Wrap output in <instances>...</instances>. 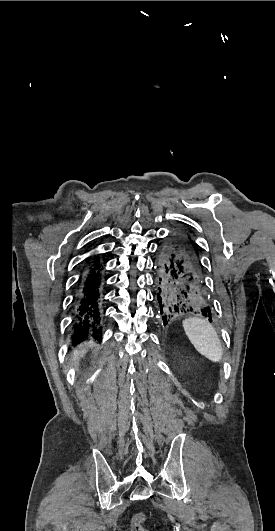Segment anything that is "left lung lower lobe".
I'll list each match as a JSON object with an SVG mask.
<instances>
[{"mask_svg":"<svg viewBox=\"0 0 275 531\" xmlns=\"http://www.w3.org/2000/svg\"><path fill=\"white\" fill-rule=\"evenodd\" d=\"M155 268L157 301L163 324L179 313L200 314L212 322L214 313L201 263L185 234L178 232L161 245Z\"/></svg>","mask_w":275,"mask_h":531,"instance_id":"1","label":"left lung lower lobe"}]
</instances>
